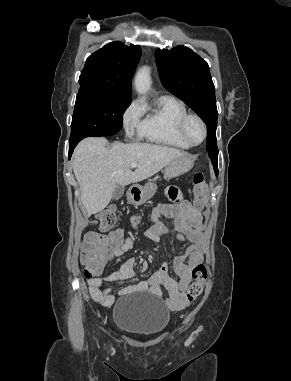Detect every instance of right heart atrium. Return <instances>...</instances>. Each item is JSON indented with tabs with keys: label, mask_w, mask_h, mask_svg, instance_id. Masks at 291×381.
Wrapping results in <instances>:
<instances>
[{
	"label": "right heart atrium",
	"mask_w": 291,
	"mask_h": 381,
	"mask_svg": "<svg viewBox=\"0 0 291 381\" xmlns=\"http://www.w3.org/2000/svg\"><path fill=\"white\" fill-rule=\"evenodd\" d=\"M141 118V108L138 102L133 101L124 110L122 115L123 126L127 134H133L139 127Z\"/></svg>",
	"instance_id": "right-heart-atrium-1"
}]
</instances>
